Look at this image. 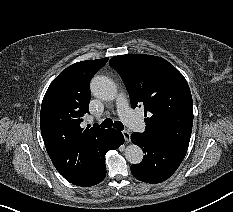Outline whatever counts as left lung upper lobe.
<instances>
[{"mask_svg":"<svg viewBox=\"0 0 233 212\" xmlns=\"http://www.w3.org/2000/svg\"><path fill=\"white\" fill-rule=\"evenodd\" d=\"M110 67L121 76L132 107L144 105V136L187 151L193 124V103L184 76L168 61L153 55H120Z\"/></svg>","mask_w":233,"mask_h":212,"instance_id":"1","label":"left lung upper lobe"}]
</instances>
